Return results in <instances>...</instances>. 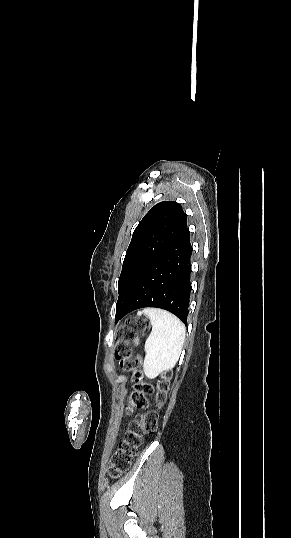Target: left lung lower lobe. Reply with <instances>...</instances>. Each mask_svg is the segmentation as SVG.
I'll return each mask as SVG.
<instances>
[{"label": "left lung lower lobe", "instance_id": "1", "mask_svg": "<svg viewBox=\"0 0 291 538\" xmlns=\"http://www.w3.org/2000/svg\"><path fill=\"white\" fill-rule=\"evenodd\" d=\"M189 239L187 228L158 256L126 304L116 308L115 323L133 310L156 307L172 312L187 325L192 254Z\"/></svg>", "mask_w": 291, "mask_h": 538}]
</instances>
